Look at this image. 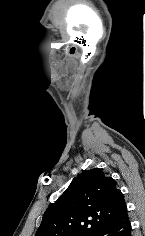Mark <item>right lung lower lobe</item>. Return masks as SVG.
<instances>
[{"instance_id":"98d812e1","label":"right lung lower lobe","mask_w":145,"mask_h":236,"mask_svg":"<svg viewBox=\"0 0 145 236\" xmlns=\"http://www.w3.org/2000/svg\"><path fill=\"white\" fill-rule=\"evenodd\" d=\"M131 230L127 207H125L93 236H131Z\"/></svg>"}]
</instances>
